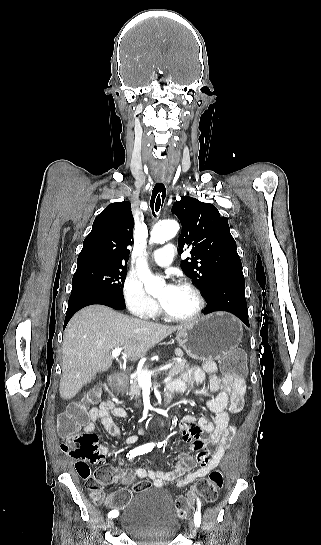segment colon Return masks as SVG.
<instances>
[{"label":"colon","instance_id":"obj_1","mask_svg":"<svg viewBox=\"0 0 321 545\" xmlns=\"http://www.w3.org/2000/svg\"><path fill=\"white\" fill-rule=\"evenodd\" d=\"M222 372L233 378H243L246 374L244 358L240 352H231L220 360ZM99 393L92 390L87 393L82 402L72 403L61 414L57 422V431L62 438L61 449L67 455L80 459H95L100 456L98 438L93 433L83 432L82 428L88 420V406L97 402ZM86 480L90 497L96 503L105 500L103 483L105 475L97 471L94 475L84 470L80 475ZM223 474L214 470L207 477L200 478L195 486L185 495L177 498L176 511L180 519L191 517L196 501L214 502L223 487ZM150 487L149 482L139 481L132 490L122 489L106 499V504L115 510L123 509L130 501L132 492H138Z\"/></svg>","mask_w":321,"mask_h":545}]
</instances>
